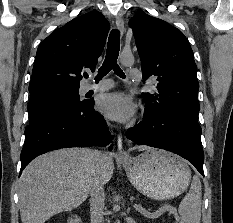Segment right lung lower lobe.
<instances>
[{"label": "right lung lower lobe", "instance_id": "right-lung-lower-lobe-1", "mask_svg": "<svg viewBox=\"0 0 233 223\" xmlns=\"http://www.w3.org/2000/svg\"><path fill=\"white\" fill-rule=\"evenodd\" d=\"M76 109L38 119L25 130L21 170L37 156L67 147L106 146L111 135L103 116L94 110V100Z\"/></svg>", "mask_w": 233, "mask_h": 223}]
</instances>
